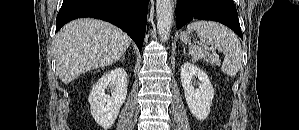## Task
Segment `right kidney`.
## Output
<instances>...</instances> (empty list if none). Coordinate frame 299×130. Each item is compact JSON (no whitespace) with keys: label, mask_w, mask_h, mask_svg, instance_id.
<instances>
[{"label":"right kidney","mask_w":299,"mask_h":130,"mask_svg":"<svg viewBox=\"0 0 299 130\" xmlns=\"http://www.w3.org/2000/svg\"><path fill=\"white\" fill-rule=\"evenodd\" d=\"M110 86H112L111 96L105 93ZM127 86V73L120 67L104 74L93 86L88 99L91 115L105 130L114 124L120 107L126 100Z\"/></svg>","instance_id":"obj_1"}]
</instances>
